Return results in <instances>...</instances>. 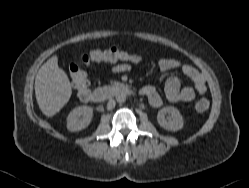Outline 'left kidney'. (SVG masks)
<instances>
[{
  "label": "left kidney",
  "instance_id": "5707ae66",
  "mask_svg": "<svg viewBox=\"0 0 249 188\" xmlns=\"http://www.w3.org/2000/svg\"><path fill=\"white\" fill-rule=\"evenodd\" d=\"M170 115V118H166V115ZM158 124L168 131H178L183 127V118L179 110L175 107H164L158 111L157 114Z\"/></svg>",
  "mask_w": 249,
  "mask_h": 188
}]
</instances>
